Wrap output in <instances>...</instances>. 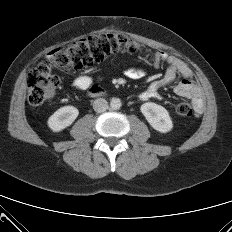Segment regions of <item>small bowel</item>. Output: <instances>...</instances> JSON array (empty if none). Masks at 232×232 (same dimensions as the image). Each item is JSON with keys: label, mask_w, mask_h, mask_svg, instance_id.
Returning a JSON list of instances; mask_svg holds the SVG:
<instances>
[{"label": "small bowel", "mask_w": 232, "mask_h": 232, "mask_svg": "<svg viewBox=\"0 0 232 232\" xmlns=\"http://www.w3.org/2000/svg\"><path fill=\"white\" fill-rule=\"evenodd\" d=\"M168 64L163 78L152 82L146 90L140 94L141 100L160 98V90L172 84L178 76L182 80L175 86L174 91L178 96L190 99L195 113L200 115L203 111V98L200 87L193 80L190 67L179 57L158 52L155 55L154 64L158 67L161 63ZM146 74V66H131L125 70V76L131 80H139ZM71 87L78 92H85L95 87L94 79L89 75H75L70 81Z\"/></svg>", "instance_id": "small-bowel-1"}]
</instances>
